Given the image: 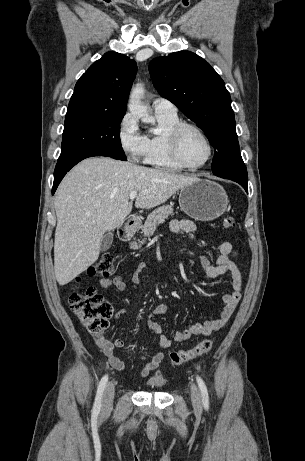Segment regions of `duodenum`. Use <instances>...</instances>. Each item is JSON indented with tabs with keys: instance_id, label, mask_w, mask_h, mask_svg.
Returning a JSON list of instances; mask_svg holds the SVG:
<instances>
[{
	"instance_id": "1",
	"label": "duodenum",
	"mask_w": 305,
	"mask_h": 461,
	"mask_svg": "<svg viewBox=\"0 0 305 461\" xmlns=\"http://www.w3.org/2000/svg\"><path fill=\"white\" fill-rule=\"evenodd\" d=\"M135 227H136V220L134 218L126 219L119 227V231H118L119 237L122 240L128 239L132 235Z\"/></svg>"
}]
</instances>
